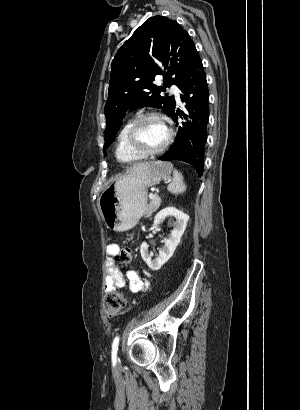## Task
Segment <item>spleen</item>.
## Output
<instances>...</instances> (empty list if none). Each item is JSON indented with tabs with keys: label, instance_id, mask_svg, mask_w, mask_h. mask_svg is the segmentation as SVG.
<instances>
[{
	"label": "spleen",
	"instance_id": "3e777b00",
	"mask_svg": "<svg viewBox=\"0 0 300 410\" xmlns=\"http://www.w3.org/2000/svg\"><path fill=\"white\" fill-rule=\"evenodd\" d=\"M168 191L172 194H182L186 191V185L183 181V176L176 169L173 170V179L168 185Z\"/></svg>",
	"mask_w": 300,
	"mask_h": 410
}]
</instances>
